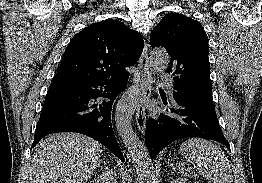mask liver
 Instances as JSON below:
<instances>
[{"label":"liver","instance_id":"liver-1","mask_svg":"<svg viewBox=\"0 0 262 183\" xmlns=\"http://www.w3.org/2000/svg\"><path fill=\"white\" fill-rule=\"evenodd\" d=\"M102 145L78 133H55L35 147L28 183H86L100 164Z\"/></svg>","mask_w":262,"mask_h":183}]
</instances>
